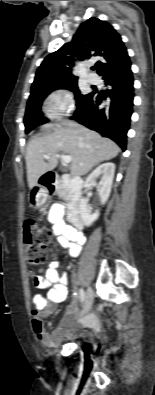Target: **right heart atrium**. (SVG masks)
<instances>
[{
	"mask_svg": "<svg viewBox=\"0 0 155 395\" xmlns=\"http://www.w3.org/2000/svg\"><path fill=\"white\" fill-rule=\"evenodd\" d=\"M72 109V94L67 89H58L47 98L45 112L51 119H60L67 116Z\"/></svg>",
	"mask_w": 155,
	"mask_h": 395,
	"instance_id": "1",
	"label": "right heart atrium"
}]
</instances>
